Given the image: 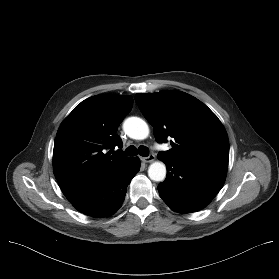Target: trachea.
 Masks as SVG:
<instances>
[{"instance_id":"1","label":"trachea","mask_w":279,"mask_h":279,"mask_svg":"<svg viewBox=\"0 0 279 279\" xmlns=\"http://www.w3.org/2000/svg\"><path fill=\"white\" fill-rule=\"evenodd\" d=\"M138 153L143 157H147L149 155V148L146 146H139V148L137 149L135 146L131 145L125 152L127 156H135Z\"/></svg>"}]
</instances>
